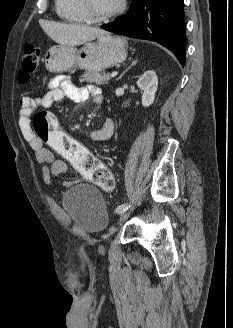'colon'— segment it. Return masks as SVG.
<instances>
[{
  "instance_id": "5ec220e1",
  "label": "colon",
  "mask_w": 233,
  "mask_h": 328,
  "mask_svg": "<svg viewBox=\"0 0 233 328\" xmlns=\"http://www.w3.org/2000/svg\"><path fill=\"white\" fill-rule=\"evenodd\" d=\"M39 58V48L32 44L24 47L18 74L19 82L29 81L38 67ZM33 129L37 138L103 191L112 192L115 189V180L111 171L82 144L66 134L52 113L47 111L36 113L33 118Z\"/></svg>"
}]
</instances>
